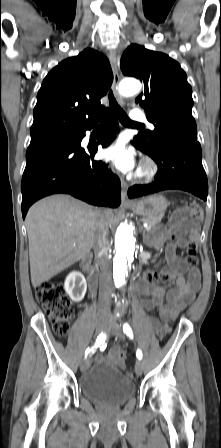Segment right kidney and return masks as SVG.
<instances>
[{
    "instance_id": "right-kidney-1",
    "label": "right kidney",
    "mask_w": 221,
    "mask_h": 448,
    "mask_svg": "<svg viewBox=\"0 0 221 448\" xmlns=\"http://www.w3.org/2000/svg\"><path fill=\"white\" fill-rule=\"evenodd\" d=\"M64 289L74 302H80L84 298L87 290L86 279L82 273L73 271L66 277Z\"/></svg>"
}]
</instances>
